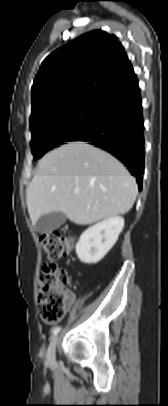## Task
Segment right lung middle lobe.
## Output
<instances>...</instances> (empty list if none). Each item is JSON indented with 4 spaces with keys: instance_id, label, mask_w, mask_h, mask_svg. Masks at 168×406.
<instances>
[{
    "instance_id": "obj_1",
    "label": "right lung middle lobe",
    "mask_w": 168,
    "mask_h": 406,
    "mask_svg": "<svg viewBox=\"0 0 168 406\" xmlns=\"http://www.w3.org/2000/svg\"><path fill=\"white\" fill-rule=\"evenodd\" d=\"M103 115L104 100L89 99L30 123L34 159L41 158L52 148L81 136L97 124Z\"/></svg>"
}]
</instances>
